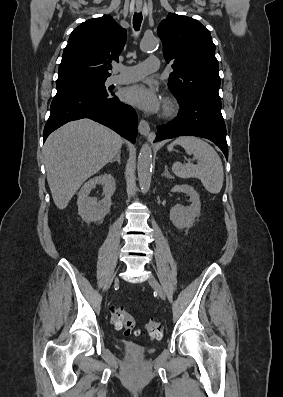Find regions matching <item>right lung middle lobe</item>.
I'll return each mask as SVG.
<instances>
[{
  "label": "right lung middle lobe",
  "instance_id": "right-lung-middle-lobe-1",
  "mask_svg": "<svg viewBox=\"0 0 283 397\" xmlns=\"http://www.w3.org/2000/svg\"><path fill=\"white\" fill-rule=\"evenodd\" d=\"M107 78L79 77L56 82L57 93L70 89H92L98 91H106L104 83Z\"/></svg>",
  "mask_w": 283,
  "mask_h": 397
}]
</instances>
